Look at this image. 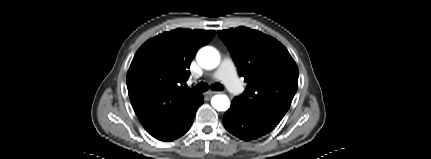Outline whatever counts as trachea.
Here are the masks:
<instances>
[{"instance_id": "1", "label": "trachea", "mask_w": 431, "mask_h": 159, "mask_svg": "<svg viewBox=\"0 0 431 159\" xmlns=\"http://www.w3.org/2000/svg\"><path fill=\"white\" fill-rule=\"evenodd\" d=\"M212 90L215 91H222L224 89L223 85L219 84V83H215L213 85H211L210 87ZM209 86L205 83V82H200L196 85V87L193 89V91L195 93H203L205 91H208Z\"/></svg>"}]
</instances>
